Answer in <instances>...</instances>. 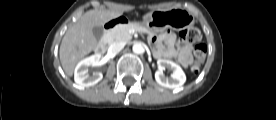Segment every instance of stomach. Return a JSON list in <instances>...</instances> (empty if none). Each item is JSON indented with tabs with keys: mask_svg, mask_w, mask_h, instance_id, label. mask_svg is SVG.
<instances>
[{
	"mask_svg": "<svg viewBox=\"0 0 276 120\" xmlns=\"http://www.w3.org/2000/svg\"><path fill=\"white\" fill-rule=\"evenodd\" d=\"M194 22L195 19L191 12L183 8H173L151 12L147 18H143L140 25L150 32L158 33L168 28L182 31L192 27Z\"/></svg>",
	"mask_w": 276,
	"mask_h": 120,
	"instance_id": "1",
	"label": "stomach"
}]
</instances>
